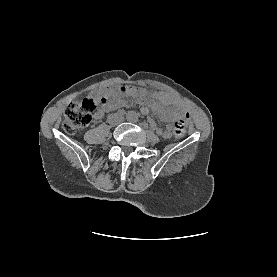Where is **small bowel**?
Returning <instances> with one entry per match:
<instances>
[{"label":"small bowel","mask_w":277,"mask_h":277,"mask_svg":"<svg viewBox=\"0 0 277 277\" xmlns=\"http://www.w3.org/2000/svg\"><path fill=\"white\" fill-rule=\"evenodd\" d=\"M126 91L127 94L129 93L142 97L141 101L145 104L141 109L143 115L149 114L150 109H152L160 119L166 122H170L178 117L185 121H189L190 119L189 113L181 108L178 99L172 93L165 91L150 92L146 89L137 91L133 87H127ZM99 92L107 95L109 99L108 104L98 110L96 114L97 119H101L107 111L121 108L126 104V102L120 97V94H123L122 91L119 92L113 89L103 88ZM151 126L159 135L164 137H169L171 135V125L163 130L158 127L155 122L151 121Z\"/></svg>","instance_id":"1"}]
</instances>
